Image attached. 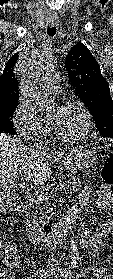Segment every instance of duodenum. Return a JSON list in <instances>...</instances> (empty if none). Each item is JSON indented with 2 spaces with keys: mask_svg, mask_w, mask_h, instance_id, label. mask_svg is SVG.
Listing matches in <instances>:
<instances>
[{
  "mask_svg": "<svg viewBox=\"0 0 113 279\" xmlns=\"http://www.w3.org/2000/svg\"><path fill=\"white\" fill-rule=\"evenodd\" d=\"M85 209L84 204L69 209L56 224L44 226L34 225L29 219V213L26 209L22 210L24 216L23 232L31 242L39 244L42 247L58 244L63 236L71 229L73 223L81 216ZM88 239H81V243L87 244Z\"/></svg>",
  "mask_w": 113,
  "mask_h": 279,
  "instance_id": "duodenum-1",
  "label": "duodenum"
}]
</instances>
